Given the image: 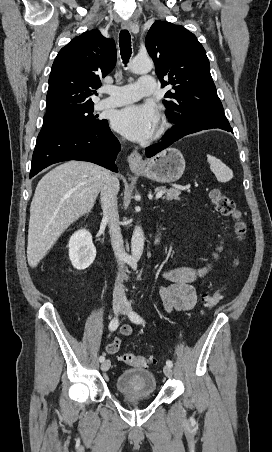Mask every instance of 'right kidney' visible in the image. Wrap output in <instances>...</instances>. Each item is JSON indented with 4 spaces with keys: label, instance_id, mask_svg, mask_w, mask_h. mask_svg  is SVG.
I'll use <instances>...</instances> for the list:
<instances>
[{
    "label": "right kidney",
    "instance_id": "ca27d5eb",
    "mask_svg": "<svg viewBox=\"0 0 272 452\" xmlns=\"http://www.w3.org/2000/svg\"><path fill=\"white\" fill-rule=\"evenodd\" d=\"M69 258L74 268L84 270L89 267L95 257L96 248L92 242V235L86 229L76 231L69 240Z\"/></svg>",
    "mask_w": 272,
    "mask_h": 452
}]
</instances>
